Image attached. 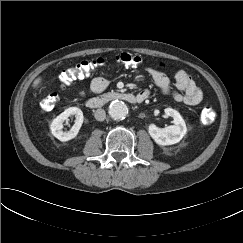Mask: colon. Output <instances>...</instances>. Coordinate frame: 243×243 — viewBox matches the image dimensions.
<instances>
[{
	"label": "colon",
	"mask_w": 243,
	"mask_h": 243,
	"mask_svg": "<svg viewBox=\"0 0 243 243\" xmlns=\"http://www.w3.org/2000/svg\"><path fill=\"white\" fill-rule=\"evenodd\" d=\"M113 62L119 65L136 67L143 64L144 59L135 54L131 53H120L114 56ZM108 60L105 58H96L92 60H86L78 63L72 68L64 70L60 74V80L63 86L70 85L75 79H82L89 76L96 70L106 66ZM165 68L164 64L160 65ZM59 101V96L57 93H49L40 103L43 111H50ZM216 112L210 106H205L201 111V121L206 124H212L216 120Z\"/></svg>",
	"instance_id": "1"
}]
</instances>
